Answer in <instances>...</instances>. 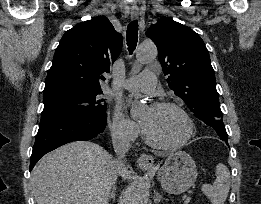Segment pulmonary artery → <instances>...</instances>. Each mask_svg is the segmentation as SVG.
Returning a JSON list of instances; mask_svg holds the SVG:
<instances>
[{"label":"pulmonary artery","instance_id":"pulmonary-artery-1","mask_svg":"<svg viewBox=\"0 0 261 204\" xmlns=\"http://www.w3.org/2000/svg\"><path fill=\"white\" fill-rule=\"evenodd\" d=\"M156 83V75L152 71H143L139 75L127 78L123 87L132 91L149 92L155 89Z\"/></svg>","mask_w":261,"mask_h":204}]
</instances>
